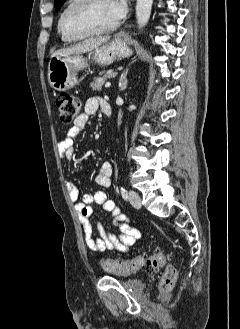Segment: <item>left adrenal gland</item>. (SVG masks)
<instances>
[{
  "label": "left adrenal gland",
  "mask_w": 240,
  "mask_h": 329,
  "mask_svg": "<svg viewBox=\"0 0 240 329\" xmlns=\"http://www.w3.org/2000/svg\"><path fill=\"white\" fill-rule=\"evenodd\" d=\"M128 69L121 75L120 82H119V89L120 91L125 90L127 87L128 80L126 78Z\"/></svg>",
  "instance_id": "obj_1"
}]
</instances>
